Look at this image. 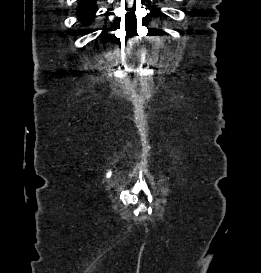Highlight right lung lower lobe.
Masks as SVG:
<instances>
[{"label":"right lung lower lobe","instance_id":"98d812e1","mask_svg":"<svg viewBox=\"0 0 261 273\" xmlns=\"http://www.w3.org/2000/svg\"><path fill=\"white\" fill-rule=\"evenodd\" d=\"M96 11V0H78L77 15L84 24L94 20Z\"/></svg>","mask_w":261,"mask_h":273}]
</instances>
